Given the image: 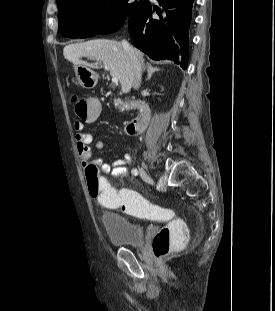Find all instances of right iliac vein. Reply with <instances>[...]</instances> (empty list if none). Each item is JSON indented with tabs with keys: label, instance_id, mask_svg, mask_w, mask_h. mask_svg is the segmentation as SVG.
I'll list each match as a JSON object with an SVG mask.
<instances>
[{
	"label": "right iliac vein",
	"instance_id": "obj_1",
	"mask_svg": "<svg viewBox=\"0 0 275 311\" xmlns=\"http://www.w3.org/2000/svg\"><path fill=\"white\" fill-rule=\"evenodd\" d=\"M139 174L143 181L151 185L154 184L153 178L143 168H139Z\"/></svg>",
	"mask_w": 275,
	"mask_h": 311
}]
</instances>
